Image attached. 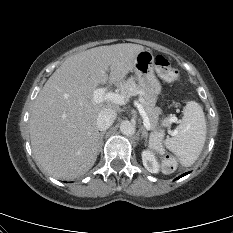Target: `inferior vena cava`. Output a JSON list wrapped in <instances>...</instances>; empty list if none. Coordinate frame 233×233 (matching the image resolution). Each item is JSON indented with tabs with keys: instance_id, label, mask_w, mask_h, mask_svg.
<instances>
[{
	"instance_id": "1",
	"label": "inferior vena cava",
	"mask_w": 233,
	"mask_h": 233,
	"mask_svg": "<svg viewBox=\"0 0 233 233\" xmlns=\"http://www.w3.org/2000/svg\"><path fill=\"white\" fill-rule=\"evenodd\" d=\"M116 116V112L112 109L105 108L101 110L96 121L98 130L106 131L114 123Z\"/></svg>"
}]
</instances>
